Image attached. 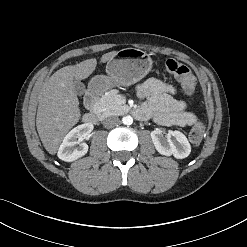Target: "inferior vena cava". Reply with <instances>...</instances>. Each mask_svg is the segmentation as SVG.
I'll use <instances>...</instances> for the list:
<instances>
[{
    "label": "inferior vena cava",
    "instance_id": "602c4592",
    "mask_svg": "<svg viewBox=\"0 0 247 247\" xmlns=\"http://www.w3.org/2000/svg\"><path fill=\"white\" fill-rule=\"evenodd\" d=\"M120 120L117 116H109V117H106L104 120H103V125L106 127V128H111L117 124H119Z\"/></svg>",
    "mask_w": 247,
    "mask_h": 247
}]
</instances>
